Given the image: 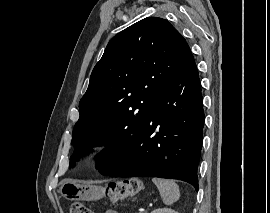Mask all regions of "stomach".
Segmentation results:
<instances>
[{
  "mask_svg": "<svg viewBox=\"0 0 270 213\" xmlns=\"http://www.w3.org/2000/svg\"><path fill=\"white\" fill-rule=\"evenodd\" d=\"M61 195L71 201L98 200L105 194V187L90 184H81L75 180H65L60 187Z\"/></svg>",
  "mask_w": 270,
  "mask_h": 213,
  "instance_id": "obj_1",
  "label": "stomach"
}]
</instances>
